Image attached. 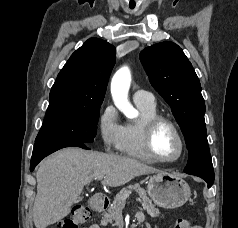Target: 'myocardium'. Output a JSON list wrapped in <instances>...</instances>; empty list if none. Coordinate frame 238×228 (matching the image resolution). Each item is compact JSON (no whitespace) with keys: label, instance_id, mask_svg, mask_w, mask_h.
<instances>
[{"label":"myocardium","instance_id":"obj_1","mask_svg":"<svg viewBox=\"0 0 238 228\" xmlns=\"http://www.w3.org/2000/svg\"><path fill=\"white\" fill-rule=\"evenodd\" d=\"M166 125L168 126L176 136L178 143H179V153L176 157L171 158V159H166L160 157L155 149H154V137L158 131V129ZM143 141H144V146L147 151V153L157 162L161 163H173L178 161L184 154L185 151V141L184 138L177 127V125L170 120L169 118L161 115H157L151 119H148L147 121L144 122L143 124Z\"/></svg>","mask_w":238,"mask_h":228}]
</instances>
